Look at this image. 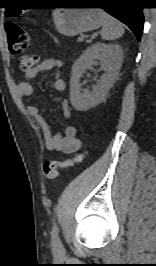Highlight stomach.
Masks as SVG:
<instances>
[{
	"mask_svg": "<svg viewBox=\"0 0 156 266\" xmlns=\"http://www.w3.org/2000/svg\"><path fill=\"white\" fill-rule=\"evenodd\" d=\"M70 7H81L77 3H68ZM99 9L58 8L53 12L56 29L65 36L98 29L102 25Z\"/></svg>",
	"mask_w": 156,
	"mask_h": 266,
	"instance_id": "0dacf381",
	"label": "stomach"
}]
</instances>
